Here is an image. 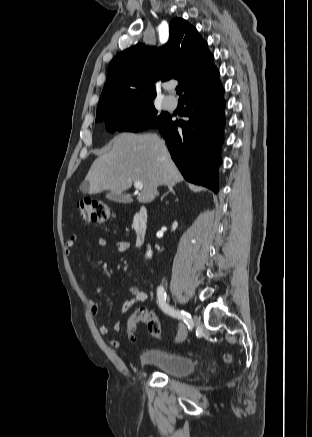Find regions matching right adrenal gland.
I'll return each mask as SVG.
<instances>
[{
  "instance_id": "right-adrenal-gland-1",
  "label": "right adrenal gland",
  "mask_w": 312,
  "mask_h": 437,
  "mask_svg": "<svg viewBox=\"0 0 312 437\" xmlns=\"http://www.w3.org/2000/svg\"><path fill=\"white\" fill-rule=\"evenodd\" d=\"M168 191L162 196L161 199H163L169 192L173 193L175 195V191L173 189V186H168Z\"/></svg>"
}]
</instances>
